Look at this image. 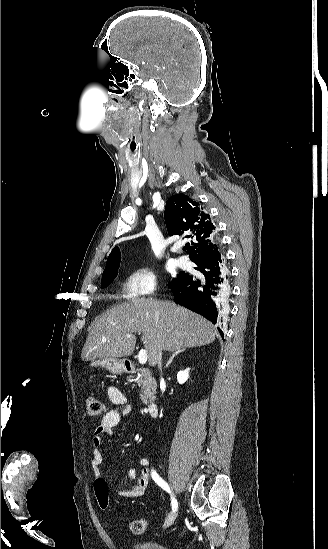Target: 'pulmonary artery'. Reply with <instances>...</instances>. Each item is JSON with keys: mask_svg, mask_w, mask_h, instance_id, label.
<instances>
[{"mask_svg": "<svg viewBox=\"0 0 328 549\" xmlns=\"http://www.w3.org/2000/svg\"><path fill=\"white\" fill-rule=\"evenodd\" d=\"M174 263L179 268H187L189 265L188 260L184 256H178L174 259Z\"/></svg>", "mask_w": 328, "mask_h": 549, "instance_id": "pulmonary-artery-1", "label": "pulmonary artery"}]
</instances>
